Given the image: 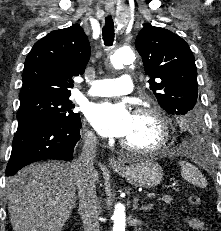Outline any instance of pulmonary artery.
Listing matches in <instances>:
<instances>
[{"mask_svg": "<svg viewBox=\"0 0 221 231\" xmlns=\"http://www.w3.org/2000/svg\"><path fill=\"white\" fill-rule=\"evenodd\" d=\"M133 90V78L124 74L118 79H103L92 82V87L86 92L90 96H120Z\"/></svg>", "mask_w": 221, "mask_h": 231, "instance_id": "e3ab8cb5", "label": "pulmonary artery"}]
</instances>
